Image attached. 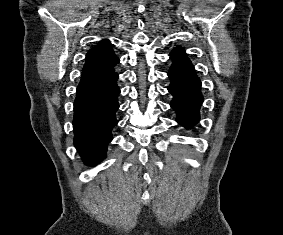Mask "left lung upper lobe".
I'll list each match as a JSON object with an SVG mask.
<instances>
[{
  "mask_svg": "<svg viewBox=\"0 0 283 235\" xmlns=\"http://www.w3.org/2000/svg\"><path fill=\"white\" fill-rule=\"evenodd\" d=\"M170 55L171 59H173L174 61L190 62L185 54L184 49H182L181 47H176Z\"/></svg>",
  "mask_w": 283,
  "mask_h": 235,
  "instance_id": "left-lung-upper-lobe-1",
  "label": "left lung upper lobe"
}]
</instances>
